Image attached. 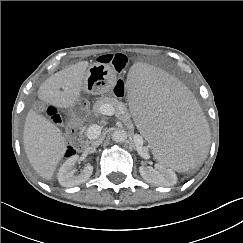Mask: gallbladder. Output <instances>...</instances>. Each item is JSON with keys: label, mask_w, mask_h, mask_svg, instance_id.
<instances>
[{"label": "gallbladder", "mask_w": 243, "mask_h": 243, "mask_svg": "<svg viewBox=\"0 0 243 243\" xmlns=\"http://www.w3.org/2000/svg\"><path fill=\"white\" fill-rule=\"evenodd\" d=\"M33 109L36 111V112H42L43 111V113H44V104L43 103H41V102H36L35 103V105H34V107H33ZM44 115H46L45 113H44Z\"/></svg>", "instance_id": "gallbladder-1"}]
</instances>
